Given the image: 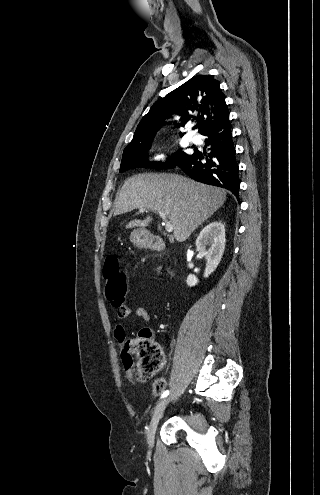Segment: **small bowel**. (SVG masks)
<instances>
[{"label": "small bowel", "mask_w": 320, "mask_h": 495, "mask_svg": "<svg viewBox=\"0 0 320 495\" xmlns=\"http://www.w3.org/2000/svg\"><path fill=\"white\" fill-rule=\"evenodd\" d=\"M118 317L119 318H127L129 316H136L144 320V322L148 323L150 322V315L147 312V310L143 307H129V306H124V308L121 311H117ZM115 336L119 341H122L124 338V330L123 327L119 324L115 326ZM124 361V360H123ZM125 370H126V378L132 385H138L136 380L133 377L134 369L132 366V362L126 363L124 362Z\"/></svg>", "instance_id": "small-bowel-1"}]
</instances>
